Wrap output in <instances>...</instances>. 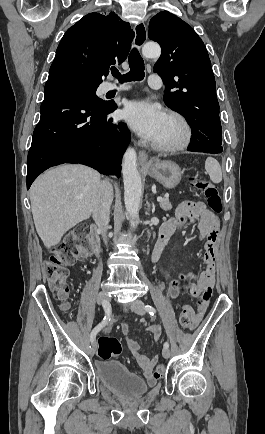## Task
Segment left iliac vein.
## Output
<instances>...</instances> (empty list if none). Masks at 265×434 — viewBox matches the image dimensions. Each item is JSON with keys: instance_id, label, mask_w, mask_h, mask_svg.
<instances>
[{"instance_id": "left-iliac-vein-1", "label": "left iliac vein", "mask_w": 265, "mask_h": 434, "mask_svg": "<svg viewBox=\"0 0 265 434\" xmlns=\"http://www.w3.org/2000/svg\"><path fill=\"white\" fill-rule=\"evenodd\" d=\"M130 308L137 314L143 315L145 313L144 311V303L141 300H134L133 303L130 305ZM162 354L165 358H169L170 356V350L168 348H164L162 350Z\"/></svg>"}]
</instances>
